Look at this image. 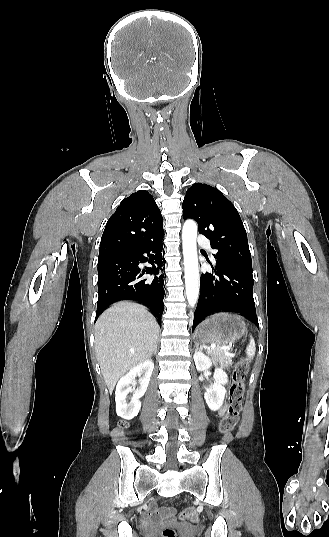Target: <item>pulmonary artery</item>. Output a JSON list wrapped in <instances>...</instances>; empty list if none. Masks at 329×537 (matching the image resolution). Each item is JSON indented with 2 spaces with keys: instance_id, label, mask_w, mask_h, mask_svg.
<instances>
[{
  "instance_id": "1",
  "label": "pulmonary artery",
  "mask_w": 329,
  "mask_h": 537,
  "mask_svg": "<svg viewBox=\"0 0 329 537\" xmlns=\"http://www.w3.org/2000/svg\"><path fill=\"white\" fill-rule=\"evenodd\" d=\"M197 241L201 246L209 247V240L206 237L200 235L198 236Z\"/></svg>"
}]
</instances>
